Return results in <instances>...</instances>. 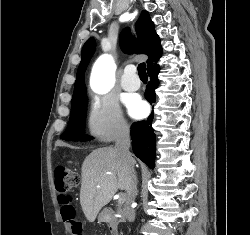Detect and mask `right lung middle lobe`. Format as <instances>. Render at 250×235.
Instances as JSON below:
<instances>
[{"mask_svg": "<svg viewBox=\"0 0 250 235\" xmlns=\"http://www.w3.org/2000/svg\"><path fill=\"white\" fill-rule=\"evenodd\" d=\"M71 114L67 129L61 135V138L67 141H87L92 137H86L84 133V122L87 111L86 92L73 98L71 101Z\"/></svg>", "mask_w": 250, "mask_h": 235, "instance_id": "1", "label": "right lung middle lobe"}]
</instances>
